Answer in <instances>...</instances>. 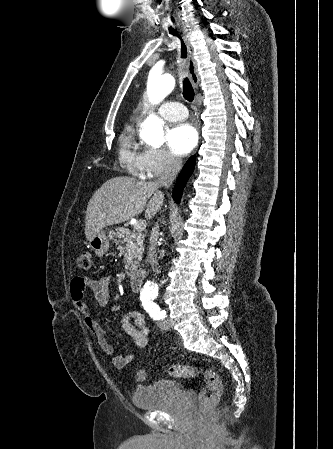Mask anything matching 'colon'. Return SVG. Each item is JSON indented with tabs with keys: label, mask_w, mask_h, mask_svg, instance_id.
Masks as SVG:
<instances>
[{
	"label": "colon",
	"mask_w": 333,
	"mask_h": 449,
	"mask_svg": "<svg viewBox=\"0 0 333 449\" xmlns=\"http://www.w3.org/2000/svg\"><path fill=\"white\" fill-rule=\"evenodd\" d=\"M78 266L83 270H88L91 267V253L83 251L78 258ZM169 375L177 378H194L196 376H203L205 380V387L200 396V407L207 409L212 407L219 399L222 391V384L218 375L211 369L202 368L198 366H182L171 365L168 367ZM135 377L138 381L146 379V372L143 369L136 371Z\"/></svg>",
	"instance_id": "5ec220e1"
}]
</instances>
